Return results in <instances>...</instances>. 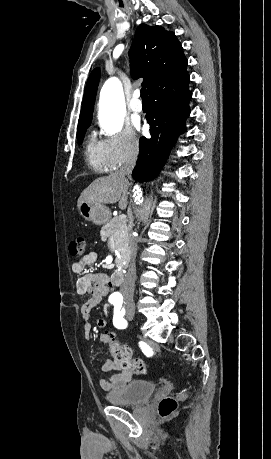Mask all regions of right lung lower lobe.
<instances>
[{
  "label": "right lung lower lobe",
  "instance_id": "98d812e1",
  "mask_svg": "<svg viewBox=\"0 0 271 459\" xmlns=\"http://www.w3.org/2000/svg\"><path fill=\"white\" fill-rule=\"evenodd\" d=\"M187 71L163 81L149 93L151 138L141 137L139 157L133 170L138 181L153 178L164 164L177 137L185 131V120L190 114L189 101L192 93Z\"/></svg>",
  "mask_w": 271,
  "mask_h": 459
}]
</instances>
